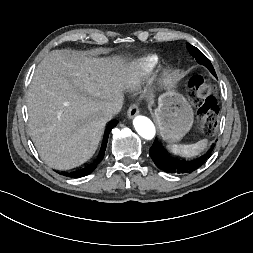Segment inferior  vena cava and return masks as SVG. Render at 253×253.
Returning <instances> with one entry per match:
<instances>
[{"label":"inferior vena cava","instance_id":"1","mask_svg":"<svg viewBox=\"0 0 253 253\" xmlns=\"http://www.w3.org/2000/svg\"><path fill=\"white\" fill-rule=\"evenodd\" d=\"M123 106V98L109 102L104 107V115L110 120L114 115L118 114Z\"/></svg>","mask_w":253,"mask_h":253}]
</instances>
